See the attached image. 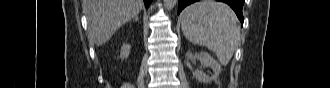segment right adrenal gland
Wrapping results in <instances>:
<instances>
[{
  "label": "right adrenal gland",
  "instance_id": "1",
  "mask_svg": "<svg viewBox=\"0 0 330 88\" xmlns=\"http://www.w3.org/2000/svg\"><path fill=\"white\" fill-rule=\"evenodd\" d=\"M134 20H135V21H139V18L136 16V17L134 18Z\"/></svg>",
  "mask_w": 330,
  "mask_h": 88
}]
</instances>
